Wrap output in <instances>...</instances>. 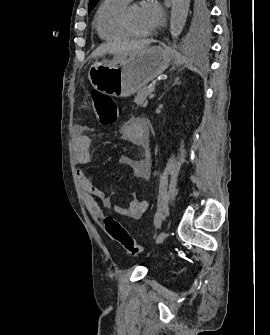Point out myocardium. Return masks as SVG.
Returning a JSON list of instances; mask_svg holds the SVG:
<instances>
[{"label": "myocardium", "instance_id": "1", "mask_svg": "<svg viewBox=\"0 0 270 335\" xmlns=\"http://www.w3.org/2000/svg\"><path fill=\"white\" fill-rule=\"evenodd\" d=\"M131 6H127L123 9V11L120 14V25L123 28V30L131 37H141L140 34L135 33L129 23H128V13Z\"/></svg>", "mask_w": 270, "mask_h": 335}]
</instances>
